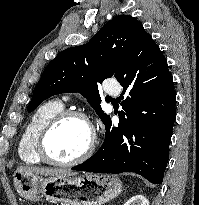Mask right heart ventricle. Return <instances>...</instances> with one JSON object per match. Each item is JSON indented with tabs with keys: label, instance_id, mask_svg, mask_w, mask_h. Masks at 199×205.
<instances>
[{
	"label": "right heart ventricle",
	"instance_id": "obj_1",
	"mask_svg": "<svg viewBox=\"0 0 199 205\" xmlns=\"http://www.w3.org/2000/svg\"><path fill=\"white\" fill-rule=\"evenodd\" d=\"M64 104L61 100H49L43 103L31 116L21 135L18 154L26 164H41L43 161L36 153V138L43 125L55 114L62 111Z\"/></svg>",
	"mask_w": 199,
	"mask_h": 205
}]
</instances>
